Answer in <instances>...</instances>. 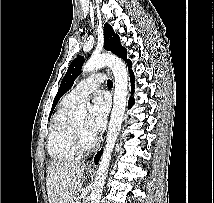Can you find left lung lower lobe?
Instances as JSON below:
<instances>
[{
  "label": "left lung lower lobe",
  "instance_id": "1",
  "mask_svg": "<svg viewBox=\"0 0 214 203\" xmlns=\"http://www.w3.org/2000/svg\"><path fill=\"white\" fill-rule=\"evenodd\" d=\"M126 63H127V65H128V67L131 68V66H132L131 61L128 60ZM130 79H131V93L133 94V93H134V74H133L132 71H130ZM133 104H134V99H133V98H130V99H129V104H128V106H129V107H132ZM101 154H102V151H99V152L96 154L95 159H94L95 164H98V161L100 160Z\"/></svg>",
  "mask_w": 214,
  "mask_h": 203
}]
</instances>
